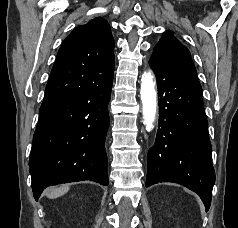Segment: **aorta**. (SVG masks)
Segmentation results:
<instances>
[{
	"mask_svg": "<svg viewBox=\"0 0 238 228\" xmlns=\"http://www.w3.org/2000/svg\"><path fill=\"white\" fill-rule=\"evenodd\" d=\"M155 80L151 71L144 72L141 78V102L144 125L147 131L154 128L157 112Z\"/></svg>",
	"mask_w": 238,
	"mask_h": 228,
	"instance_id": "1",
	"label": "aorta"
}]
</instances>
